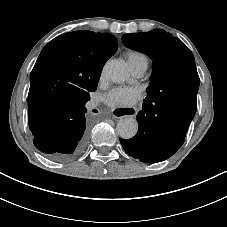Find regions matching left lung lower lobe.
Masks as SVG:
<instances>
[{
	"mask_svg": "<svg viewBox=\"0 0 227 227\" xmlns=\"http://www.w3.org/2000/svg\"><path fill=\"white\" fill-rule=\"evenodd\" d=\"M199 77L189 78L169 96L144 100L137 114L138 132L120 142L125 152L145 163L168 159L182 146L196 113Z\"/></svg>",
	"mask_w": 227,
	"mask_h": 227,
	"instance_id": "obj_1",
	"label": "left lung lower lobe"
}]
</instances>
